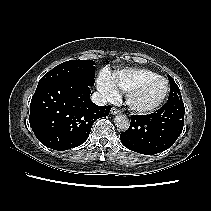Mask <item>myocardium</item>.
<instances>
[{
    "label": "myocardium",
    "instance_id": "obj_1",
    "mask_svg": "<svg viewBox=\"0 0 211 211\" xmlns=\"http://www.w3.org/2000/svg\"><path fill=\"white\" fill-rule=\"evenodd\" d=\"M156 79H161L165 82V91L163 93V95L154 103L148 105V106H139L134 102V98L135 96L143 89L145 88L147 85H149L151 82H153ZM169 93V82L168 80L161 76V75H156L154 77H150L144 81H142L141 83H139L138 85H136L134 88H132L129 92H127L126 94V105L129 107L130 110L139 113V114H147L150 112L155 111L156 109H158L163 102L165 101L166 97L168 96Z\"/></svg>",
    "mask_w": 211,
    "mask_h": 211
}]
</instances>
